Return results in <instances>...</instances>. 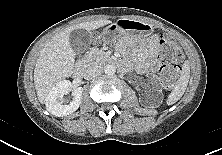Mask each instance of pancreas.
I'll list each match as a JSON object with an SVG mask.
<instances>
[{
  "label": "pancreas",
  "mask_w": 222,
  "mask_h": 155,
  "mask_svg": "<svg viewBox=\"0 0 222 155\" xmlns=\"http://www.w3.org/2000/svg\"><path fill=\"white\" fill-rule=\"evenodd\" d=\"M93 56H94V60L97 63L103 64V63L111 61L110 56L106 52L98 48L93 49Z\"/></svg>",
  "instance_id": "cf45deb5"
}]
</instances>
